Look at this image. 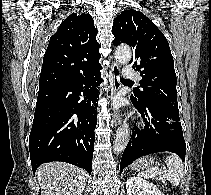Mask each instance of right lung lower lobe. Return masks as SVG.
I'll return each mask as SVG.
<instances>
[{
    "label": "right lung lower lobe",
    "mask_w": 211,
    "mask_h": 195,
    "mask_svg": "<svg viewBox=\"0 0 211 195\" xmlns=\"http://www.w3.org/2000/svg\"><path fill=\"white\" fill-rule=\"evenodd\" d=\"M100 69L39 89L29 150L32 170L62 161L92 171Z\"/></svg>",
    "instance_id": "obj_1"
}]
</instances>
